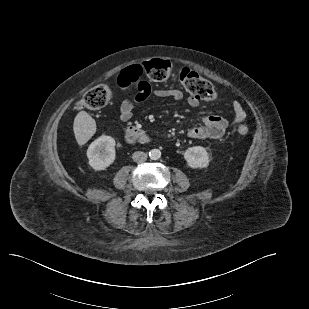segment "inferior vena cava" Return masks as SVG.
Here are the masks:
<instances>
[{"label":"inferior vena cava","instance_id":"602c4592","mask_svg":"<svg viewBox=\"0 0 309 309\" xmlns=\"http://www.w3.org/2000/svg\"><path fill=\"white\" fill-rule=\"evenodd\" d=\"M132 159L138 163L144 162L147 160V153L142 151H136L133 153Z\"/></svg>","mask_w":309,"mask_h":309}]
</instances>
